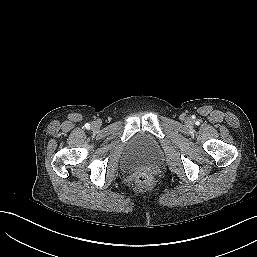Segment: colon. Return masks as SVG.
Wrapping results in <instances>:
<instances>
[{
    "label": "colon",
    "instance_id": "5ec220e1",
    "mask_svg": "<svg viewBox=\"0 0 257 257\" xmlns=\"http://www.w3.org/2000/svg\"><path fill=\"white\" fill-rule=\"evenodd\" d=\"M153 182V177L148 173H140L136 177V184L139 188H147Z\"/></svg>",
    "mask_w": 257,
    "mask_h": 257
}]
</instances>
